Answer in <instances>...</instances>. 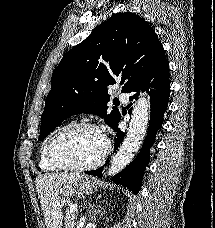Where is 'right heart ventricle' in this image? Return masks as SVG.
<instances>
[{"label":"right heart ventricle","instance_id":"1","mask_svg":"<svg viewBox=\"0 0 215 228\" xmlns=\"http://www.w3.org/2000/svg\"><path fill=\"white\" fill-rule=\"evenodd\" d=\"M56 133L53 132L51 133L47 138L46 140L44 141V143L42 144V147H41V150H40V167L43 171L45 172H53V171H56V169H54L53 167H51L49 165V163L47 162V159H46V147H47V144L49 142V140L51 139V137Z\"/></svg>","mask_w":215,"mask_h":228}]
</instances>
